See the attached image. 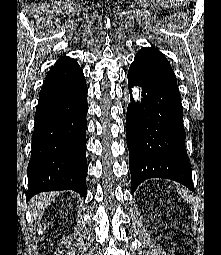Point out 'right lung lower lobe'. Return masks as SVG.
Here are the masks:
<instances>
[{
  "instance_id": "obj_1",
  "label": "right lung lower lobe",
  "mask_w": 221,
  "mask_h": 255,
  "mask_svg": "<svg viewBox=\"0 0 221 255\" xmlns=\"http://www.w3.org/2000/svg\"><path fill=\"white\" fill-rule=\"evenodd\" d=\"M87 85L76 60L51 68L39 94L26 199L40 192L74 190L86 197Z\"/></svg>"
}]
</instances>
